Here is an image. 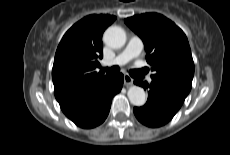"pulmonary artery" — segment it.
Listing matches in <instances>:
<instances>
[{
  "instance_id": "1",
  "label": "pulmonary artery",
  "mask_w": 230,
  "mask_h": 155,
  "mask_svg": "<svg viewBox=\"0 0 230 155\" xmlns=\"http://www.w3.org/2000/svg\"><path fill=\"white\" fill-rule=\"evenodd\" d=\"M143 50V43L137 36H132L123 51L112 60L104 61L105 66L124 65L138 57Z\"/></svg>"
}]
</instances>
